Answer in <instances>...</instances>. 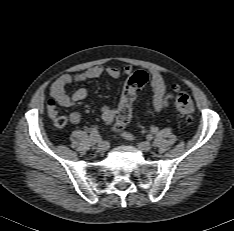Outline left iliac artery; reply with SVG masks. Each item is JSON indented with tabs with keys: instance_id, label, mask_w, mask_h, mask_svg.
Wrapping results in <instances>:
<instances>
[{
	"instance_id": "1",
	"label": "left iliac artery",
	"mask_w": 234,
	"mask_h": 231,
	"mask_svg": "<svg viewBox=\"0 0 234 231\" xmlns=\"http://www.w3.org/2000/svg\"><path fill=\"white\" fill-rule=\"evenodd\" d=\"M158 133V128L157 127H152L151 128V134H157ZM123 136L126 138H131L132 136L128 133H123Z\"/></svg>"
}]
</instances>
